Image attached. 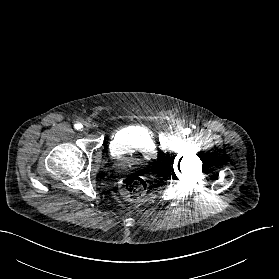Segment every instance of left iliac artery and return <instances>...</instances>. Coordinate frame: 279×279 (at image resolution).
I'll list each match as a JSON object with an SVG mask.
<instances>
[{
    "instance_id": "1",
    "label": "left iliac artery",
    "mask_w": 279,
    "mask_h": 279,
    "mask_svg": "<svg viewBox=\"0 0 279 279\" xmlns=\"http://www.w3.org/2000/svg\"><path fill=\"white\" fill-rule=\"evenodd\" d=\"M190 132H191V130H190L189 128H186V129L184 130V134H185V135L190 134Z\"/></svg>"
}]
</instances>
